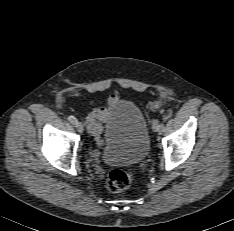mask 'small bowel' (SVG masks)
I'll return each mask as SVG.
<instances>
[{
    "instance_id": "small-bowel-1",
    "label": "small bowel",
    "mask_w": 234,
    "mask_h": 231,
    "mask_svg": "<svg viewBox=\"0 0 234 231\" xmlns=\"http://www.w3.org/2000/svg\"><path fill=\"white\" fill-rule=\"evenodd\" d=\"M118 101L117 94H111L108 98L107 107H98L91 111V113L86 117L87 129L90 135L94 138L97 145L102 144L101 133L102 124L106 123L109 118L110 108ZM95 157H98V151L94 152Z\"/></svg>"
}]
</instances>
